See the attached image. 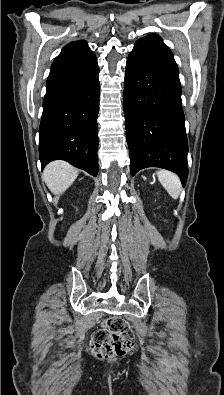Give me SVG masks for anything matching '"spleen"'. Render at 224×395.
<instances>
[{
  "label": "spleen",
  "mask_w": 224,
  "mask_h": 395,
  "mask_svg": "<svg viewBox=\"0 0 224 395\" xmlns=\"http://www.w3.org/2000/svg\"><path fill=\"white\" fill-rule=\"evenodd\" d=\"M157 177L169 195L173 199H177L182 189L179 177L175 173L167 170L158 171Z\"/></svg>",
  "instance_id": "spleen-1"
}]
</instances>
